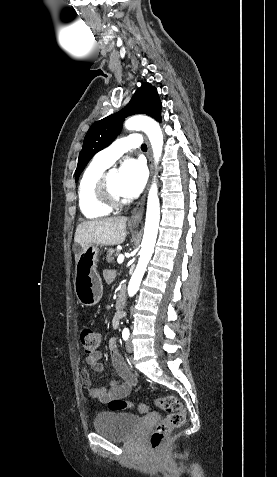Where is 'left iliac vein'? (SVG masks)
<instances>
[{
    "instance_id": "obj_1",
    "label": "left iliac vein",
    "mask_w": 277,
    "mask_h": 477,
    "mask_svg": "<svg viewBox=\"0 0 277 477\" xmlns=\"http://www.w3.org/2000/svg\"><path fill=\"white\" fill-rule=\"evenodd\" d=\"M126 350L129 352V353H132L133 352V346H132V343L130 340L127 341L126 343Z\"/></svg>"
}]
</instances>
